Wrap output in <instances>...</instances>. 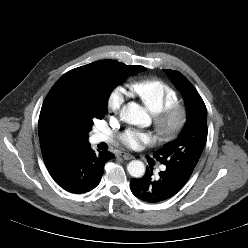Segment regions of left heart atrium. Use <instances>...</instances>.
<instances>
[{
	"label": "left heart atrium",
	"instance_id": "left-heart-atrium-1",
	"mask_svg": "<svg viewBox=\"0 0 248 248\" xmlns=\"http://www.w3.org/2000/svg\"><path fill=\"white\" fill-rule=\"evenodd\" d=\"M120 140L126 147L138 150L146 144L153 143L155 137L148 132L137 129H127L120 135Z\"/></svg>",
	"mask_w": 248,
	"mask_h": 248
}]
</instances>
